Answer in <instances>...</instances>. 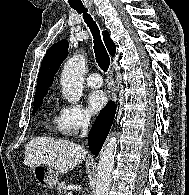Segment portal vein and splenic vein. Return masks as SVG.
<instances>
[{
    "label": "portal vein and splenic vein",
    "mask_w": 189,
    "mask_h": 195,
    "mask_svg": "<svg viewBox=\"0 0 189 195\" xmlns=\"http://www.w3.org/2000/svg\"><path fill=\"white\" fill-rule=\"evenodd\" d=\"M67 195H72V193L69 192Z\"/></svg>",
    "instance_id": "portal-vein-and-splenic-vein-1"
}]
</instances>
